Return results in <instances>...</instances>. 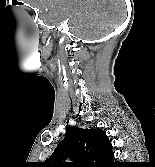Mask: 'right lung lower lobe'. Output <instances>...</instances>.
<instances>
[{
    "label": "right lung lower lobe",
    "mask_w": 155,
    "mask_h": 167,
    "mask_svg": "<svg viewBox=\"0 0 155 167\" xmlns=\"http://www.w3.org/2000/svg\"><path fill=\"white\" fill-rule=\"evenodd\" d=\"M118 165L117 164H115V165H113L112 167H117Z\"/></svg>",
    "instance_id": "obj_1"
}]
</instances>
